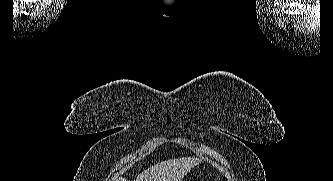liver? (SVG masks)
<instances>
[{"mask_svg":"<svg viewBox=\"0 0 333 181\" xmlns=\"http://www.w3.org/2000/svg\"><path fill=\"white\" fill-rule=\"evenodd\" d=\"M198 163L199 160L190 157L163 161L144 170L135 181H181ZM116 181H127V179L119 178Z\"/></svg>","mask_w":333,"mask_h":181,"instance_id":"6515ba94","label":"liver"}]
</instances>
